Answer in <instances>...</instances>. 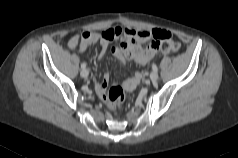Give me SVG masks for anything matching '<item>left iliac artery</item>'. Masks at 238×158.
I'll list each match as a JSON object with an SVG mask.
<instances>
[{"instance_id":"obj_1","label":"left iliac artery","mask_w":238,"mask_h":158,"mask_svg":"<svg viewBox=\"0 0 238 158\" xmlns=\"http://www.w3.org/2000/svg\"><path fill=\"white\" fill-rule=\"evenodd\" d=\"M152 69H153V71H157V70H158L156 64H153V65H152Z\"/></svg>"}]
</instances>
